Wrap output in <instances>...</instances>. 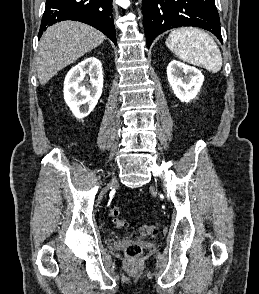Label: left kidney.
Here are the masks:
<instances>
[{"instance_id": "left-kidney-1", "label": "left kidney", "mask_w": 259, "mask_h": 294, "mask_svg": "<svg viewBox=\"0 0 259 294\" xmlns=\"http://www.w3.org/2000/svg\"><path fill=\"white\" fill-rule=\"evenodd\" d=\"M167 78L174 94L182 102H190L194 99L204 81L200 70L177 60L168 64Z\"/></svg>"}]
</instances>
